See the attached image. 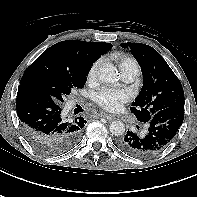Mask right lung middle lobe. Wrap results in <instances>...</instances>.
Masks as SVG:
<instances>
[{
  "label": "right lung middle lobe",
  "instance_id": "1",
  "mask_svg": "<svg viewBox=\"0 0 197 197\" xmlns=\"http://www.w3.org/2000/svg\"><path fill=\"white\" fill-rule=\"evenodd\" d=\"M88 72L74 74L44 62H34L25 71L21 82L45 91L56 103L62 104L72 89L84 87Z\"/></svg>",
  "mask_w": 197,
  "mask_h": 197
}]
</instances>
